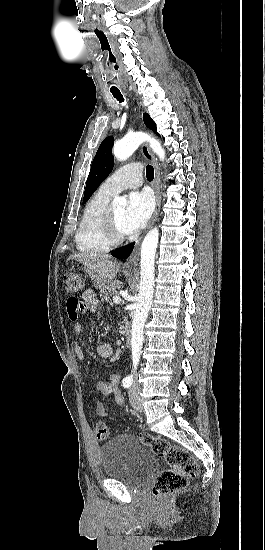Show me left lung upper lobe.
<instances>
[{"instance_id":"left-lung-upper-lobe-1","label":"left lung upper lobe","mask_w":265,"mask_h":550,"mask_svg":"<svg viewBox=\"0 0 265 550\" xmlns=\"http://www.w3.org/2000/svg\"><path fill=\"white\" fill-rule=\"evenodd\" d=\"M145 125L157 133L156 124L151 117L145 113L143 115ZM113 138L107 137L100 144L97 153L92 162L91 170L86 182L84 202H86L96 188L107 178L113 169L112 145Z\"/></svg>"}]
</instances>
